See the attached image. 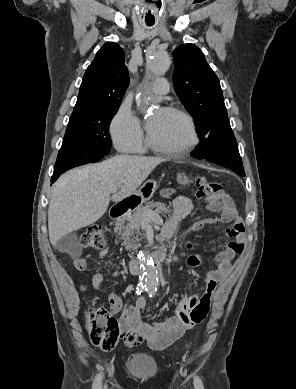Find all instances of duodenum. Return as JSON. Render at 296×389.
<instances>
[{
    "mask_svg": "<svg viewBox=\"0 0 296 389\" xmlns=\"http://www.w3.org/2000/svg\"><path fill=\"white\" fill-rule=\"evenodd\" d=\"M138 201L134 198H128L120 203L116 204L110 211V217L113 220H119L125 216L128 212L132 211L137 205ZM167 257V251L165 248L160 247L154 253V260L159 263L162 262ZM129 269L131 274L137 275L141 273V265L139 261H132L129 264Z\"/></svg>",
    "mask_w": 296,
    "mask_h": 389,
    "instance_id": "obj_1",
    "label": "duodenum"
}]
</instances>
